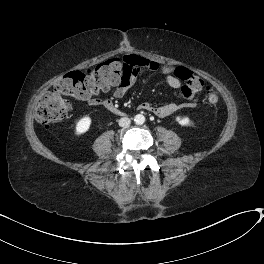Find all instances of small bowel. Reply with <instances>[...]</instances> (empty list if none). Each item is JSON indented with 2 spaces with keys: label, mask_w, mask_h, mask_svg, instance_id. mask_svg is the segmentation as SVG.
Returning <instances> with one entry per match:
<instances>
[{
  "label": "small bowel",
  "mask_w": 264,
  "mask_h": 264,
  "mask_svg": "<svg viewBox=\"0 0 264 264\" xmlns=\"http://www.w3.org/2000/svg\"><path fill=\"white\" fill-rule=\"evenodd\" d=\"M142 70L151 72H161L164 76L165 82L173 89H178L182 85V81L175 74V69L171 66L161 65L159 62L143 57L131 55L130 62L121 74L119 83L114 90L115 98H122L127 92L136 84L138 74ZM92 106L99 105L102 100L88 96L84 98ZM197 104L195 99H190L186 104L187 107H194ZM140 110L152 112L158 117L164 118L172 115L177 106L174 103H166L163 105H153L149 102H142L139 104Z\"/></svg>",
  "instance_id": "1"
}]
</instances>
